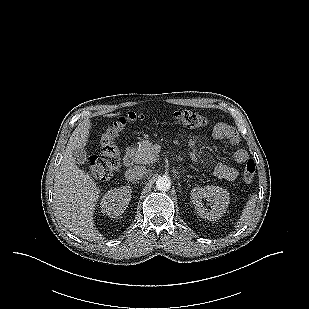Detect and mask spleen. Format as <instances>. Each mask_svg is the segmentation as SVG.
<instances>
[{"instance_id": "3e777b00", "label": "spleen", "mask_w": 309, "mask_h": 309, "mask_svg": "<svg viewBox=\"0 0 309 309\" xmlns=\"http://www.w3.org/2000/svg\"><path fill=\"white\" fill-rule=\"evenodd\" d=\"M256 201H257V195L256 194H252L249 196V200L246 203V206L244 207L240 219L237 223V225L235 226L236 228H239L240 226H242L248 219L251 218L254 209L256 207Z\"/></svg>"}]
</instances>
